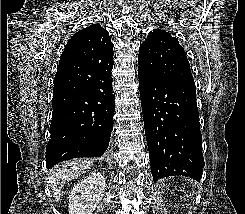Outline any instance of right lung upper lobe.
Wrapping results in <instances>:
<instances>
[{
    "mask_svg": "<svg viewBox=\"0 0 245 214\" xmlns=\"http://www.w3.org/2000/svg\"><path fill=\"white\" fill-rule=\"evenodd\" d=\"M113 43L109 33L98 24L75 33L60 56L54 88L83 89L97 67L113 64Z\"/></svg>",
    "mask_w": 245,
    "mask_h": 214,
    "instance_id": "right-lung-upper-lobe-1",
    "label": "right lung upper lobe"
}]
</instances>
